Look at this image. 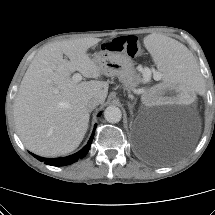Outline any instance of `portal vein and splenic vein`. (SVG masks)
<instances>
[{"mask_svg":"<svg viewBox=\"0 0 215 215\" xmlns=\"http://www.w3.org/2000/svg\"><path fill=\"white\" fill-rule=\"evenodd\" d=\"M157 78L159 79L160 77L157 76ZM72 79L75 81V82H80L82 80V76L80 73H75L72 77ZM148 81V79H147Z\"/></svg>","mask_w":215,"mask_h":215,"instance_id":"obj_1","label":"portal vein and splenic vein"}]
</instances>
